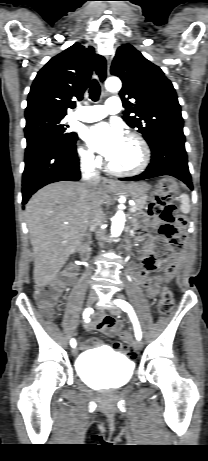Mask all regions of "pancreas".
<instances>
[{
  "mask_svg": "<svg viewBox=\"0 0 208 461\" xmlns=\"http://www.w3.org/2000/svg\"><path fill=\"white\" fill-rule=\"evenodd\" d=\"M146 200H147V197H142V198L136 199L133 212L140 211L143 208H145V206L147 205Z\"/></svg>",
  "mask_w": 208,
  "mask_h": 461,
  "instance_id": "1",
  "label": "pancreas"
}]
</instances>
